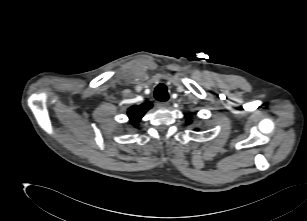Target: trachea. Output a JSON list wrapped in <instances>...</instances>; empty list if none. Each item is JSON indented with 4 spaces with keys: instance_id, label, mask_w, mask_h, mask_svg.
<instances>
[{
    "instance_id": "1",
    "label": "trachea",
    "mask_w": 307,
    "mask_h": 221,
    "mask_svg": "<svg viewBox=\"0 0 307 221\" xmlns=\"http://www.w3.org/2000/svg\"><path fill=\"white\" fill-rule=\"evenodd\" d=\"M154 97L158 101L165 102L169 99L167 87L164 84H159L154 91Z\"/></svg>"
}]
</instances>
